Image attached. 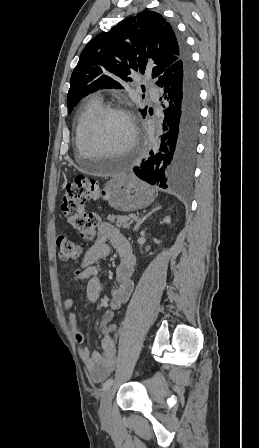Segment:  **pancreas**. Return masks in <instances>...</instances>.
<instances>
[{"label": "pancreas", "instance_id": "1", "mask_svg": "<svg viewBox=\"0 0 259 448\" xmlns=\"http://www.w3.org/2000/svg\"><path fill=\"white\" fill-rule=\"evenodd\" d=\"M135 218L134 214H128V216H111L109 214V222H115L117 228H127L129 230L131 226V220Z\"/></svg>", "mask_w": 259, "mask_h": 448}]
</instances>
